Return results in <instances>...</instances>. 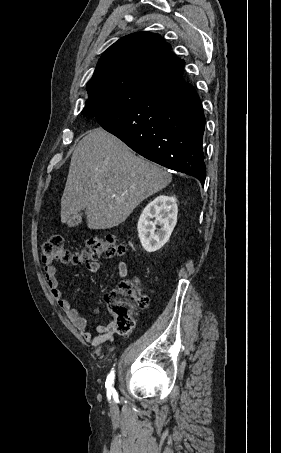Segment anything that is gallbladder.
<instances>
[{"label":"gallbladder","mask_w":281,"mask_h":453,"mask_svg":"<svg viewBox=\"0 0 281 453\" xmlns=\"http://www.w3.org/2000/svg\"><path fill=\"white\" fill-rule=\"evenodd\" d=\"M82 220V214H75V216H72L71 221H69L68 226L71 229L76 228L78 226L79 222Z\"/></svg>","instance_id":"bac80fb5"}]
</instances>
